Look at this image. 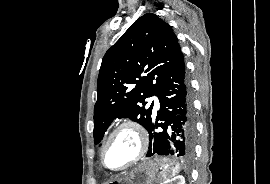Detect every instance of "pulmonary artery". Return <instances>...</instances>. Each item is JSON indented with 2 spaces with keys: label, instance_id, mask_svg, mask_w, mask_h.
Segmentation results:
<instances>
[{
  "label": "pulmonary artery",
  "instance_id": "1",
  "mask_svg": "<svg viewBox=\"0 0 270 184\" xmlns=\"http://www.w3.org/2000/svg\"><path fill=\"white\" fill-rule=\"evenodd\" d=\"M151 100L154 101V107L159 108V101H158L157 97L154 96L151 98Z\"/></svg>",
  "mask_w": 270,
  "mask_h": 184
}]
</instances>
